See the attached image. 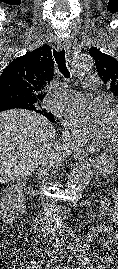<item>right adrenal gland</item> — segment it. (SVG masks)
Listing matches in <instances>:
<instances>
[{
	"label": "right adrenal gland",
	"mask_w": 118,
	"mask_h": 269,
	"mask_svg": "<svg viewBox=\"0 0 118 269\" xmlns=\"http://www.w3.org/2000/svg\"><path fill=\"white\" fill-rule=\"evenodd\" d=\"M34 174H36V176H38V177H39V176H40V174H39V170H38V172H37V173H34Z\"/></svg>",
	"instance_id": "right-adrenal-gland-1"
}]
</instances>
